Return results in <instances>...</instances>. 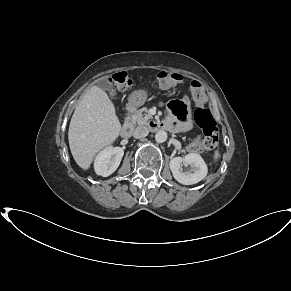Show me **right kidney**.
Returning a JSON list of instances; mask_svg holds the SVG:
<instances>
[{
    "instance_id": "ca27d5eb",
    "label": "right kidney",
    "mask_w": 291,
    "mask_h": 291,
    "mask_svg": "<svg viewBox=\"0 0 291 291\" xmlns=\"http://www.w3.org/2000/svg\"><path fill=\"white\" fill-rule=\"evenodd\" d=\"M124 151L120 147H108L101 151L94 162L97 175L108 177L114 173L120 165Z\"/></svg>"
}]
</instances>
